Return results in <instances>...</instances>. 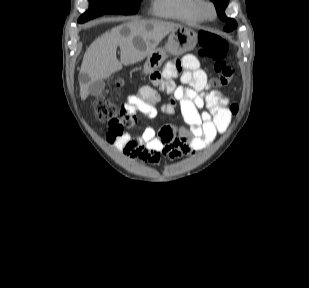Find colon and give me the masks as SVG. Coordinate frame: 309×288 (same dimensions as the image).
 Masks as SVG:
<instances>
[{
    "mask_svg": "<svg viewBox=\"0 0 309 288\" xmlns=\"http://www.w3.org/2000/svg\"><path fill=\"white\" fill-rule=\"evenodd\" d=\"M200 57L214 62L216 78L213 81L215 87L228 86L234 76V68L226 62L228 46L225 40L211 31L201 30L198 33ZM123 80L116 81V86H123ZM164 90L162 87H159ZM165 91V90H164ZM94 111L96 117L104 122H116L123 126H132L136 122L135 116L125 105H118L109 99L99 98L95 105ZM234 115L238 113V107L231 108Z\"/></svg>",
    "mask_w": 309,
    "mask_h": 288,
    "instance_id": "5ec220e1",
    "label": "colon"
}]
</instances>
